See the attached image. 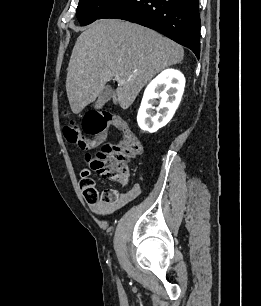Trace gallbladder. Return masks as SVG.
Masks as SVG:
<instances>
[{"mask_svg":"<svg viewBox=\"0 0 261 306\" xmlns=\"http://www.w3.org/2000/svg\"><path fill=\"white\" fill-rule=\"evenodd\" d=\"M112 97V88L110 86H105L101 91L98 99L94 105L95 109H100L103 105L108 102Z\"/></svg>","mask_w":261,"mask_h":306,"instance_id":"gallbladder-1","label":"gallbladder"}]
</instances>
